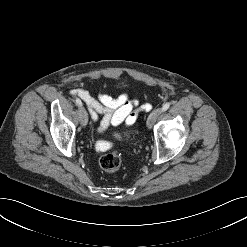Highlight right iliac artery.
Instances as JSON below:
<instances>
[{
  "instance_id": "1",
  "label": "right iliac artery",
  "mask_w": 247,
  "mask_h": 247,
  "mask_svg": "<svg viewBox=\"0 0 247 247\" xmlns=\"http://www.w3.org/2000/svg\"><path fill=\"white\" fill-rule=\"evenodd\" d=\"M76 104H77L78 106H82L81 100L77 98V99H76Z\"/></svg>"
}]
</instances>
